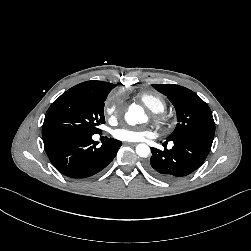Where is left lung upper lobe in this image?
I'll return each instance as SVG.
<instances>
[{"label":"left lung upper lobe","instance_id":"left-lung-upper-lobe-1","mask_svg":"<svg viewBox=\"0 0 251 251\" xmlns=\"http://www.w3.org/2000/svg\"><path fill=\"white\" fill-rule=\"evenodd\" d=\"M169 98L177 112L175 130L167 140L188 136L214 138L215 123L209 106L193 91L175 84H153Z\"/></svg>","mask_w":251,"mask_h":251}]
</instances>
